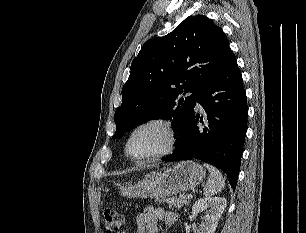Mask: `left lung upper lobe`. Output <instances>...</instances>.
Returning a JSON list of instances; mask_svg holds the SVG:
<instances>
[{
    "mask_svg": "<svg viewBox=\"0 0 306 233\" xmlns=\"http://www.w3.org/2000/svg\"><path fill=\"white\" fill-rule=\"evenodd\" d=\"M229 51L223 31L202 15L189 16L168 35L148 40L123 86L113 138L157 118L173 119L174 132L179 133ZM189 92L191 96L178 100Z\"/></svg>",
    "mask_w": 306,
    "mask_h": 233,
    "instance_id": "obj_1",
    "label": "left lung upper lobe"
}]
</instances>
